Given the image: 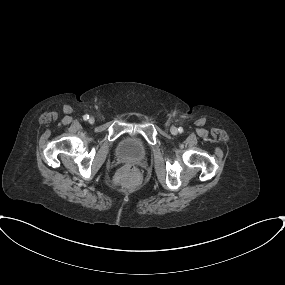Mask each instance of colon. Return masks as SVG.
<instances>
[{
  "instance_id": "1",
  "label": "colon",
  "mask_w": 285,
  "mask_h": 285,
  "mask_svg": "<svg viewBox=\"0 0 285 285\" xmlns=\"http://www.w3.org/2000/svg\"><path fill=\"white\" fill-rule=\"evenodd\" d=\"M116 179L123 184H131L136 180V168L132 164H126L116 174Z\"/></svg>"
}]
</instances>
